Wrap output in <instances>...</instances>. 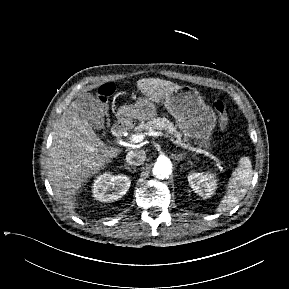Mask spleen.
Segmentation results:
<instances>
[{
  "instance_id": "obj_1",
  "label": "spleen",
  "mask_w": 289,
  "mask_h": 289,
  "mask_svg": "<svg viewBox=\"0 0 289 289\" xmlns=\"http://www.w3.org/2000/svg\"><path fill=\"white\" fill-rule=\"evenodd\" d=\"M253 170L248 157H242L239 166L233 172L227 186V191L220 202L217 212H225L235 207L246 195L251 184Z\"/></svg>"
}]
</instances>
